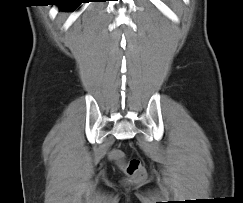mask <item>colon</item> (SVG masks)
<instances>
[{
	"label": "colon",
	"instance_id": "1",
	"mask_svg": "<svg viewBox=\"0 0 243 203\" xmlns=\"http://www.w3.org/2000/svg\"><path fill=\"white\" fill-rule=\"evenodd\" d=\"M110 158L118 164L131 182L137 183L145 178L146 173L139 159L125 161L122 152L116 149L110 152Z\"/></svg>",
	"mask_w": 243,
	"mask_h": 203
}]
</instances>
